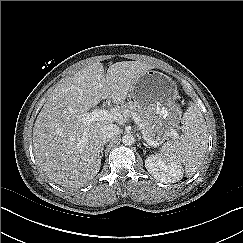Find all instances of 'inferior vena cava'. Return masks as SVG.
<instances>
[{
	"instance_id": "602c4592",
	"label": "inferior vena cava",
	"mask_w": 243,
	"mask_h": 243,
	"mask_svg": "<svg viewBox=\"0 0 243 243\" xmlns=\"http://www.w3.org/2000/svg\"><path fill=\"white\" fill-rule=\"evenodd\" d=\"M120 133V129L115 124H109L104 126L101 129L100 139L103 143H107L111 139H113L115 136H117Z\"/></svg>"
}]
</instances>
